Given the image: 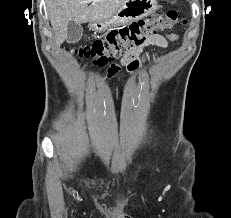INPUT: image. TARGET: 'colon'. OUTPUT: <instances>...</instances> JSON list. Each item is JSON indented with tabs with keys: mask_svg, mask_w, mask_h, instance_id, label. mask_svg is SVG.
<instances>
[{
	"mask_svg": "<svg viewBox=\"0 0 231 218\" xmlns=\"http://www.w3.org/2000/svg\"><path fill=\"white\" fill-rule=\"evenodd\" d=\"M179 21L178 12L168 10L158 17L133 22L111 32L105 39L75 48L74 52L95 66H104L136 48L142 47L150 37L157 35L160 31L173 28Z\"/></svg>",
	"mask_w": 231,
	"mask_h": 218,
	"instance_id": "1",
	"label": "colon"
}]
</instances>
